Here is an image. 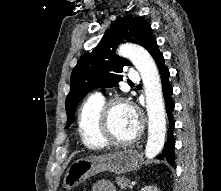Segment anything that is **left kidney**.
<instances>
[{
  "label": "left kidney",
  "instance_id": "1",
  "mask_svg": "<svg viewBox=\"0 0 221 191\" xmlns=\"http://www.w3.org/2000/svg\"><path fill=\"white\" fill-rule=\"evenodd\" d=\"M140 191H159L156 186H145Z\"/></svg>",
  "mask_w": 221,
  "mask_h": 191
}]
</instances>
